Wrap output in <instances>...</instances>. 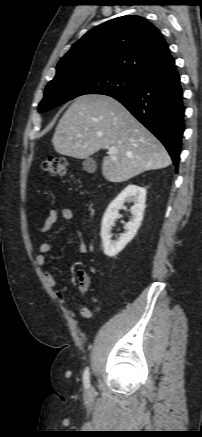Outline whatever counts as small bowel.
Instances as JSON below:
<instances>
[{
	"label": "small bowel",
	"instance_id": "c3829d8e",
	"mask_svg": "<svg viewBox=\"0 0 202 437\" xmlns=\"http://www.w3.org/2000/svg\"><path fill=\"white\" fill-rule=\"evenodd\" d=\"M59 215L66 221H71L74 218V213L69 208H61V209H51L48 212L47 217L45 218L43 224L38 228L37 233L38 234H44L51 230V228L54 226V224L57 222ZM78 239H79V252L82 254L87 253V247L86 244L82 238V233L80 230L75 231ZM51 244L48 241H43L39 247L37 254L35 256V262L37 266L44 267L46 264V254L50 251ZM45 280L50 288L54 289L57 296L61 299L64 309L66 313L74 318L76 316L74 310L72 309L71 303L69 299L67 298L66 294L60 290L57 289V282L53 274L46 270L45 273ZM89 287V279L85 274H82V276L79 279V290L82 294H85ZM79 313L82 317L88 319L92 316V311L87 306H80Z\"/></svg>",
	"mask_w": 202,
	"mask_h": 437
}]
</instances>
